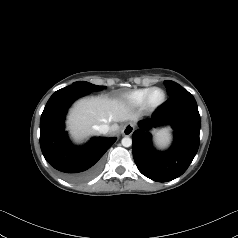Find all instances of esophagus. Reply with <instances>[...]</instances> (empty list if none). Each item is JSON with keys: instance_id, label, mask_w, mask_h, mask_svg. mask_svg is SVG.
I'll return each instance as SVG.
<instances>
[{"instance_id": "obj_1", "label": "esophagus", "mask_w": 238, "mask_h": 238, "mask_svg": "<svg viewBox=\"0 0 238 238\" xmlns=\"http://www.w3.org/2000/svg\"><path fill=\"white\" fill-rule=\"evenodd\" d=\"M135 130L134 124L132 123H127L123 129H122V133L125 136H130Z\"/></svg>"}]
</instances>
